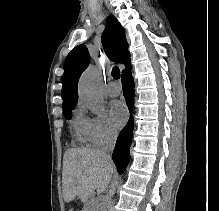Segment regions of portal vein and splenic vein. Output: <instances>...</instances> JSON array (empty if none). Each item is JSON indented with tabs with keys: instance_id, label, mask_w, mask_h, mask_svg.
Returning <instances> with one entry per match:
<instances>
[{
	"instance_id": "1",
	"label": "portal vein and splenic vein",
	"mask_w": 219,
	"mask_h": 211,
	"mask_svg": "<svg viewBox=\"0 0 219 211\" xmlns=\"http://www.w3.org/2000/svg\"><path fill=\"white\" fill-rule=\"evenodd\" d=\"M90 203H96V201H90Z\"/></svg>"
}]
</instances>
